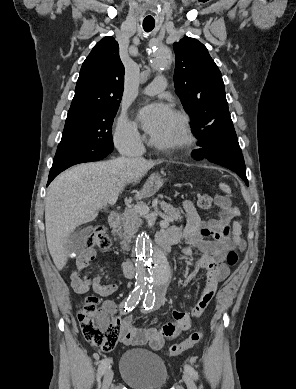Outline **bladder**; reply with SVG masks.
Returning <instances> with one entry per match:
<instances>
[{
    "instance_id": "31cf9c89",
    "label": "bladder",
    "mask_w": 296,
    "mask_h": 389,
    "mask_svg": "<svg viewBox=\"0 0 296 389\" xmlns=\"http://www.w3.org/2000/svg\"><path fill=\"white\" fill-rule=\"evenodd\" d=\"M119 367L121 378L133 389H162L168 380L165 362L144 349L126 350Z\"/></svg>"
}]
</instances>
